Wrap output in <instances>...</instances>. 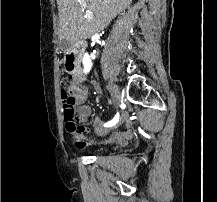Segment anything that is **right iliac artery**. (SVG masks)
<instances>
[{"instance_id": "obj_1", "label": "right iliac artery", "mask_w": 217, "mask_h": 202, "mask_svg": "<svg viewBox=\"0 0 217 202\" xmlns=\"http://www.w3.org/2000/svg\"><path fill=\"white\" fill-rule=\"evenodd\" d=\"M120 114L121 113L118 111L116 113L115 117L111 121L104 124V127H112V126H114L118 122V120L120 119Z\"/></svg>"}]
</instances>
